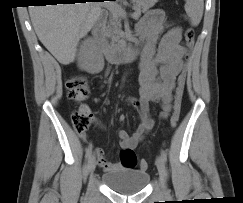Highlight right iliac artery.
<instances>
[{
  "instance_id": "right-iliac-artery-1",
  "label": "right iliac artery",
  "mask_w": 243,
  "mask_h": 203,
  "mask_svg": "<svg viewBox=\"0 0 243 203\" xmlns=\"http://www.w3.org/2000/svg\"><path fill=\"white\" fill-rule=\"evenodd\" d=\"M92 154V146L90 145L87 149H86V157H90Z\"/></svg>"
}]
</instances>
